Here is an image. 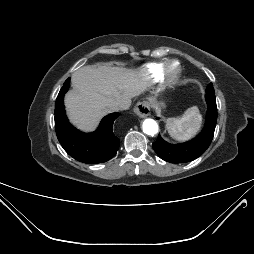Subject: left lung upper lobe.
<instances>
[{"label": "left lung upper lobe", "instance_id": "1", "mask_svg": "<svg viewBox=\"0 0 254 254\" xmlns=\"http://www.w3.org/2000/svg\"><path fill=\"white\" fill-rule=\"evenodd\" d=\"M207 88H209V89H213V85H212V83H210V84L207 86Z\"/></svg>", "mask_w": 254, "mask_h": 254}]
</instances>
